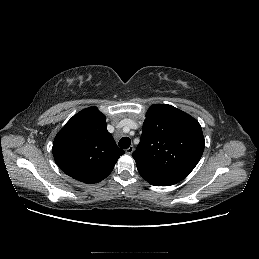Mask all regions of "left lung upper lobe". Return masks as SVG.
<instances>
[{
	"label": "left lung upper lobe",
	"mask_w": 259,
	"mask_h": 259,
	"mask_svg": "<svg viewBox=\"0 0 259 259\" xmlns=\"http://www.w3.org/2000/svg\"><path fill=\"white\" fill-rule=\"evenodd\" d=\"M205 147L197 120L166 104H154L147 113L132 157L136 166L181 181L195 168Z\"/></svg>",
	"instance_id": "1"
}]
</instances>
